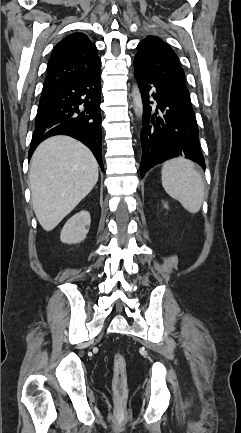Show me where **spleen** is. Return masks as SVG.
<instances>
[{"label": "spleen", "mask_w": 241, "mask_h": 433, "mask_svg": "<svg viewBox=\"0 0 241 433\" xmlns=\"http://www.w3.org/2000/svg\"><path fill=\"white\" fill-rule=\"evenodd\" d=\"M162 186L167 194L190 213L199 212L204 198V184L194 163L183 157L168 160L162 167Z\"/></svg>", "instance_id": "spleen-1"}]
</instances>
